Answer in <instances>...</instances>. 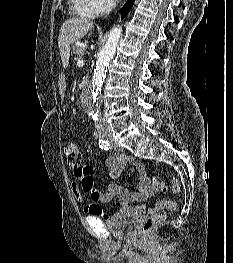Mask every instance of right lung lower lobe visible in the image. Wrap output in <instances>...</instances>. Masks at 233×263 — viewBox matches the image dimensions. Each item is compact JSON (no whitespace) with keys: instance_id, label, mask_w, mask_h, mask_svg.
I'll list each match as a JSON object with an SVG mask.
<instances>
[{"instance_id":"98d812e1","label":"right lung lower lobe","mask_w":233,"mask_h":263,"mask_svg":"<svg viewBox=\"0 0 233 263\" xmlns=\"http://www.w3.org/2000/svg\"><path fill=\"white\" fill-rule=\"evenodd\" d=\"M134 3V0H127L126 4L124 5V7L121 9V18L123 19L127 13L130 11V9L132 8Z\"/></svg>"}]
</instances>
